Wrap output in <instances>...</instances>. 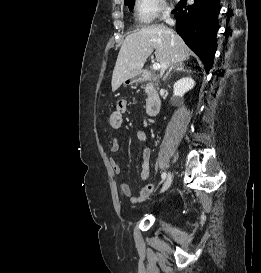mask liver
I'll return each mask as SVG.
<instances>
[{"label": "liver", "mask_w": 261, "mask_h": 273, "mask_svg": "<svg viewBox=\"0 0 261 273\" xmlns=\"http://www.w3.org/2000/svg\"><path fill=\"white\" fill-rule=\"evenodd\" d=\"M155 49L161 74L171 65L190 58L191 52L183 39L163 25H150L128 35L118 54L112 74V91L127 79L134 78Z\"/></svg>", "instance_id": "1"}]
</instances>
